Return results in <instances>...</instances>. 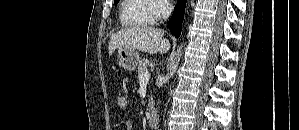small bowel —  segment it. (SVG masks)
<instances>
[{
  "mask_svg": "<svg viewBox=\"0 0 299 130\" xmlns=\"http://www.w3.org/2000/svg\"><path fill=\"white\" fill-rule=\"evenodd\" d=\"M126 130H133L134 129V123L132 121H127L125 125Z\"/></svg>",
  "mask_w": 299,
  "mask_h": 130,
  "instance_id": "c3829d8e",
  "label": "small bowel"
}]
</instances>
